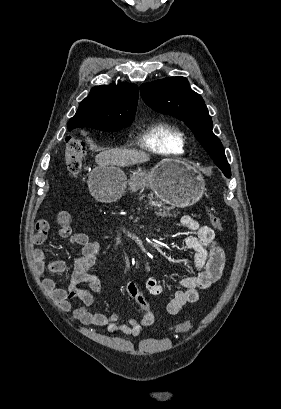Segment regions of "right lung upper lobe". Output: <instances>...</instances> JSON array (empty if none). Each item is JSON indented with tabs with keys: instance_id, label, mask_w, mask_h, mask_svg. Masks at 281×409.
<instances>
[{
	"instance_id": "1",
	"label": "right lung upper lobe",
	"mask_w": 281,
	"mask_h": 409,
	"mask_svg": "<svg viewBox=\"0 0 281 409\" xmlns=\"http://www.w3.org/2000/svg\"><path fill=\"white\" fill-rule=\"evenodd\" d=\"M138 100V87L129 83L94 87L68 122V130L89 126L130 125Z\"/></svg>"
}]
</instances>
